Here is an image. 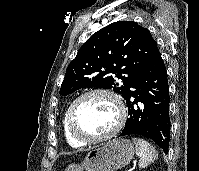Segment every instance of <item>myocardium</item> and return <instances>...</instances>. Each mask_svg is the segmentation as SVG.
<instances>
[{"mask_svg": "<svg viewBox=\"0 0 199 171\" xmlns=\"http://www.w3.org/2000/svg\"><path fill=\"white\" fill-rule=\"evenodd\" d=\"M92 95H104L112 99L114 104L116 105L117 113H118V119L115 124V126L110 130L109 132L100 135V136H86L82 134L76 127L74 119H75V112L78 104L85 98L92 96ZM127 119V109L124 104V101L122 98L114 91L107 89V88H92L89 89L82 94H80L78 97H76L73 102L70 104L68 111H67V122H68V128L70 130V133L74 138L77 140L86 143H99L102 141H106L115 135H117L120 130L123 128L125 122Z\"/></svg>", "mask_w": 199, "mask_h": 171, "instance_id": "f54148a6", "label": "myocardium"}]
</instances>
